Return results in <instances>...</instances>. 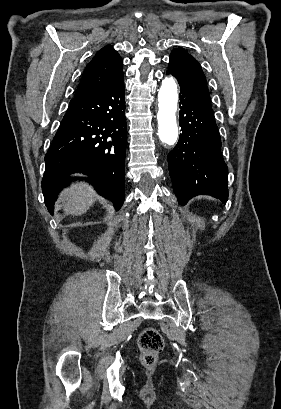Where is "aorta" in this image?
<instances>
[{
    "label": "aorta",
    "mask_w": 281,
    "mask_h": 409,
    "mask_svg": "<svg viewBox=\"0 0 281 409\" xmlns=\"http://www.w3.org/2000/svg\"><path fill=\"white\" fill-rule=\"evenodd\" d=\"M177 85L173 77H166L162 81L158 93V134L162 143L173 145L178 138L176 123Z\"/></svg>",
    "instance_id": "aorta-1"
}]
</instances>
